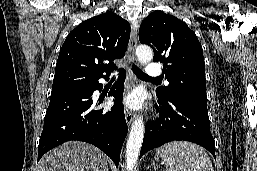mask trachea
Instances as JSON below:
<instances>
[{
    "label": "trachea",
    "instance_id": "1",
    "mask_svg": "<svg viewBox=\"0 0 257 171\" xmlns=\"http://www.w3.org/2000/svg\"><path fill=\"white\" fill-rule=\"evenodd\" d=\"M132 70L135 73V75L141 79H147V80H153L160 82L161 79L159 78H151L147 74H145L141 69H139L136 65L132 64Z\"/></svg>",
    "mask_w": 257,
    "mask_h": 171
}]
</instances>
